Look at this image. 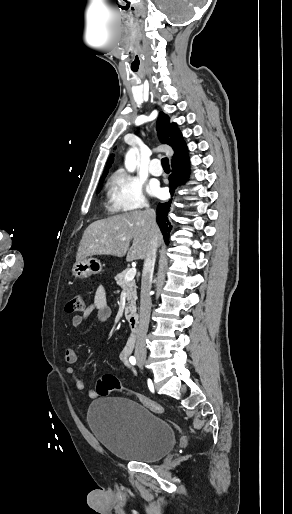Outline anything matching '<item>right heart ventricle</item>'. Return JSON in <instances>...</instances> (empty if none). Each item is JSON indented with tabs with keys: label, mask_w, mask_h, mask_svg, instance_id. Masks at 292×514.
Here are the masks:
<instances>
[{
	"label": "right heart ventricle",
	"mask_w": 292,
	"mask_h": 514,
	"mask_svg": "<svg viewBox=\"0 0 292 514\" xmlns=\"http://www.w3.org/2000/svg\"><path fill=\"white\" fill-rule=\"evenodd\" d=\"M105 208L108 214H116L118 212V209L113 205L109 195L105 200Z\"/></svg>",
	"instance_id": "1"
}]
</instances>
